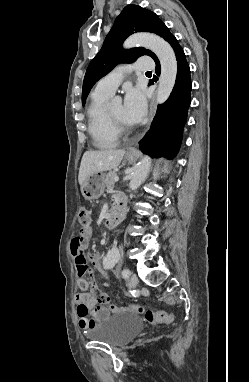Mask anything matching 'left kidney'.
Returning <instances> with one entry per match:
<instances>
[{
    "label": "left kidney",
    "mask_w": 249,
    "mask_h": 382,
    "mask_svg": "<svg viewBox=\"0 0 249 382\" xmlns=\"http://www.w3.org/2000/svg\"><path fill=\"white\" fill-rule=\"evenodd\" d=\"M109 251L114 252V254H109L108 255V260H94L93 261V267H102V271L104 272H111V267H119L120 266V261H119V255L117 254L116 251V246L115 245H110L109 246Z\"/></svg>",
    "instance_id": "5707ae66"
}]
</instances>
